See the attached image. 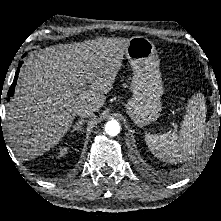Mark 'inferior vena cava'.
<instances>
[{
	"label": "inferior vena cava",
	"instance_id": "1",
	"mask_svg": "<svg viewBox=\"0 0 221 221\" xmlns=\"http://www.w3.org/2000/svg\"><path fill=\"white\" fill-rule=\"evenodd\" d=\"M96 108L92 105L86 104L77 108L76 114L81 118H89L94 115Z\"/></svg>",
	"mask_w": 221,
	"mask_h": 221
}]
</instances>
